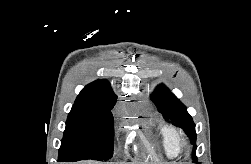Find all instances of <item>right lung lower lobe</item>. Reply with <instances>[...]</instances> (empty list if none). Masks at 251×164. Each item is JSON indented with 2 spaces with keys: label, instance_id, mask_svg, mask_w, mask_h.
<instances>
[{
  "label": "right lung lower lobe",
  "instance_id": "1",
  "mask_svg": "<svg viewBox=\"0 0 251 164\" xmlns=\"http://www.w3.org/2000/svg\"><path fill=\"white\" fill-rule=\"evenodd\" d=\"M59 162H72L71 160H59Z\"/></svg>",
  "mask_w": 251,
  "mask_h": 164
}]
</instances>
